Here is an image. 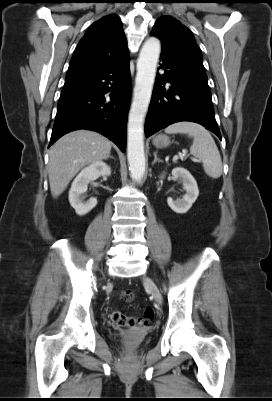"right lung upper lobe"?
<instances>
[{
	"label": "right lung upper lobe",
	"instance_id": "obj_1",
	"mask_svg": "<svg viewBox=\"0 0 272 401\" xmlns=\"http://www.w3.org/2000/svg\"><path fill=\"white\" fill-rule=\"evenodd\" d=\"M127 52L121 20L114 14L104 16L93 23L79 41L65 83L91 75Z\"/></svg>",
	"mask_w": 272,
	"mask_h": 401
}]
</instances>
